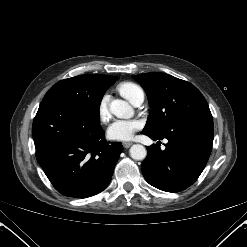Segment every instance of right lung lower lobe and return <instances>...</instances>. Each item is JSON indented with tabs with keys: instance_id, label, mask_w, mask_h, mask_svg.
Listing matches in <instances>:
<instances>
[{
	"instance_id": "obj_1",
	"label": "right lung lower lobe",
	"mask_w": 247,
	"mask_h": 247,
	"mask_svg": "<svg viewBox=\"0 0 247 247\" xmlns=\"http://www.w3.org/2000/svg\"><path fill=\"white\" fill-rule=\"evenodd\" d=\"M36 159L61 194L86 198L111 181L123 150L104 138L99 115L63 102L41 103L32 126Z\"/></svg>"
}]
</instances>
